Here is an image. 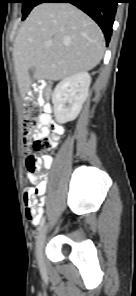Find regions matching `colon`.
<instances>
[{"instance_id": "5ec220e1", "label": "colon", "mask_w": 136, "mask_h": 296, "mask_svg": "<svg viewBox=\"0 0 136 296\" xmlns=\"http://www.w3.org/2000/svg\"><path fill=\"white\" fill-rule=\"evenodd\" d=\"M22 135L23 143L26 147L25 169L30 185L24 192V205L26 217L30 221L40 219L39 209L36 206L37 187L34 182L41 170L42 161L39 153L48 152L53 147V141L48 136L37 137L35 131L43 124L41 116L42 108L32 100L23 106ZM50 129L60 131V127L55 124L47 125Z\"/></svg>"}]
</instances>
